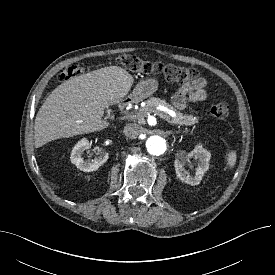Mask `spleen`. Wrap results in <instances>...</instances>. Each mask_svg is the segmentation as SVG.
I'll return each mask as SVG.
<instances>
[{"mask_svg": "<svg viewBox=\"0 0 275 275\" xmlns=\"http://www.w3.org/2000/svg\"><path fill=\"white\" fill-rule=\"evenodd\" d=\"M226 161L227 165L232 168L235 165L236 162V152L235 151H229L226 155Z\"/></svg>", "mask_w": 275, "mask_h": 275, "instance_id": "spleen-1", "label": "spleen"}]
</instances>
